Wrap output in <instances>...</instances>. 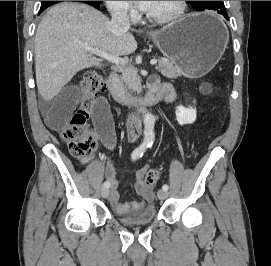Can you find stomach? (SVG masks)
Wrapping results in <instances>:
<instances>
[{"instance_id": "1", "label": "stomach", "mask_w": 271, "mask_h": 266, "mask_svg": "<svg viewBox=\"0 0 271 266\" xmlns=\"http://www.w3.org/2000/svg\"><path fill=\"white\" fill-rule=\"evenodd\" d=\"M148 36L188 78L207 74L220 60L229 41L225 24L210 13L187 15Z\"/></svg>"}]
</instances>
